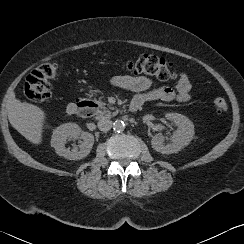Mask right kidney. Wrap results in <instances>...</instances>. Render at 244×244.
<instances>
[{
  "instance_id": "1",
  "label": "right kidney",
  "mask_w": 244,
  "mask_h": 244,
  "mask_svg": "<svg viewBox=\"0 0 244 244\" xmlns=\"http://www.w3.org/2000/svg\"><path fill=\"white\" fill-rule=\"evenodd\" d=\"M83 139L79 147L69 149L65 146L68 139ZM94 144V136L82 129L75 123H66L53 131L51 146L55 152L68 160H79L86 157Z\"/></svg>"
}]
</instances>
